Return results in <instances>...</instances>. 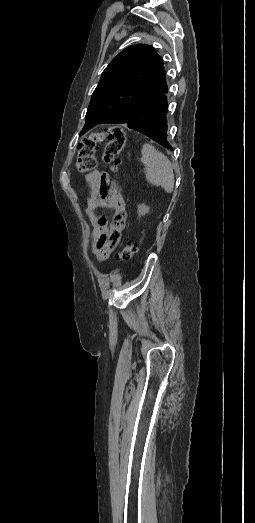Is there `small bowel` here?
I'll list each match as a JSON object with an SVG mask.
<instances>
[{"instance_id": "obj_1", "label": "small bowel", "mask_w": 255, "mask_h": 523, "mask_svg": "<svg viewBox=\"0 0 255 523\" xmlns=\"http://www.w3.org/2000/svg\"><path fill=\"white\" fill-rule=\"evenodd\" d=\"M90 194L86 198L85 213L93 226L92 251L99 261L108 260L126 225V206L118 185L109 176L93 171L86 176ZM113 211L112 222L99 214V209Z\"/></svg>"}]
</instances>
